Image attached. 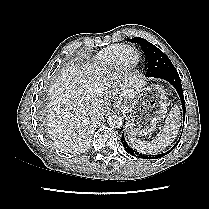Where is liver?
Listing matches in <instances>:
<instances>
[{"label": "liver", "instance_id": "obj_1", "mask_svg": "<svg viewBox=\"0 0 209 209\" xmlns=\"http://www.w3.org/2000/svg\"><path fill=\"white\" fill-rule=\"evenodd\" d=\"M138 74L109 73L90 64L69 67L51 84L47 126L55 146L80 154L89 148L91 124L113 100H130L145 86Z\"/></svg>", "mask_w": 209, "mask_h": 209}]
</instances>
